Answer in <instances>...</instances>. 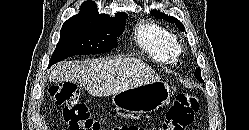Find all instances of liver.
<instances>
[{
	"instance_id": "obj_1",
	"label": "liver",
	"mask_w": 249,
	"mask_h": 130,
	"mask_svg": "<svg viewBox=\"0 0 249 130\" xmlns=\"http://www.w3.org/2000/svg\"><path fill=\"white\" fill-rule=\"evenodd\" d=\"M53 82L80 84L89 94L107 97L132 87L160 80L159 75L136 58L101 59L78 64H60L49 77Z\"/></svg>"
}]
</instances>
